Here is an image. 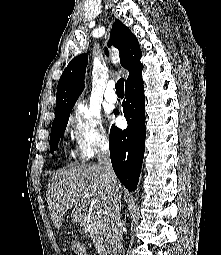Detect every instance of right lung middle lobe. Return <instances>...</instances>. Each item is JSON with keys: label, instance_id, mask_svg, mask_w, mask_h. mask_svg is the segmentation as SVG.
Listing matches in <instances>:
<instances>
[{"label": "right lung middle lobe", "instance_id": "1", "mask_svg": "<svg viewBox=\"0 0 221 255\" xmlns=\"http://www.w3.org/2000/svg\"><path fill=\"white\" fill-rule=\"evenodd\" d=\"M70 112L71 111H68L55 116V119L52 124L49 142L51 153H53L54 150L57 149L59 139L64 135V131L68 123Z\"/></svg>", "mask_w": 221, "mask_h": 255}]
</instances>
